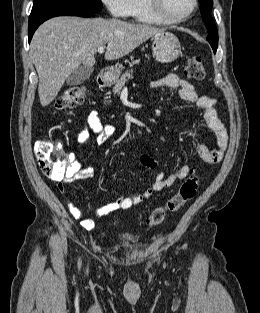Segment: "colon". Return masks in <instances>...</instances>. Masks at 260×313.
I'll list each match as a JSON object with an SVG mask.
<instances>
[{"mask_svg":"<svg viewBox=\"0 0 260 313\" xmlns=\"http://www.w3.org/2000/svg\"><path fill=\"white\" fill-rule=\"evenodd\" d=\"M185 76L192 80H204L206 71L199 57L188 60L185 67ZM86 90L83 86L68 88L63 94L56 98L54 109L63 111L70 109L84 101ZM35 156L42 173L52 180H62L70 165L69 156L58 144L48 139H39L35 143ZM199 179L190 176L180 187L179 191L169 198L163 205L156 207L146 218L148 227L160 225L168 213L179 211L187 202L192 200L198 190Z\"/></svg>","mask_w":260,"mask_h":313,"instance_id":"5ec220e1","label":"colon"}]
</instances>
